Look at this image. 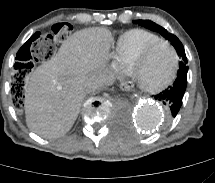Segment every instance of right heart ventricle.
<instances>
[{
	"label": "right heart ventricle",
	"instance_id": "e07e8e85",
	"mask_svg": "<svg viewBox=\"0 0 215 183\" xmlns=\"http://www.w3.org/2000/svg\"><path fill=\"white\" fill-rule=\"evenodd\" d=\"M160 36L144 29H131L123 33L115 46V57L124 68L149 44L160 40Z\"/></svg>",
	"mask_w": 215,
	"mask_h": 183
}]
</instances>
